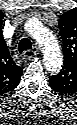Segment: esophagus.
<instances>
[{
    "label": "esophagus",
    "mask_w": 77,
    "mask_h": 125,
    "mask_svg": "<svg viewBox=\"0 0 77 125\" xmlns=\"http://www.w3.org/2000/svg\"><path fill=\"white\" fill-rule=\"evenodd\" d=\"M22 55L24 58H31L35 55V52L28 49V50H25Z\"/></svg>",
    "instance_id": "esophagus-1"
}]
</instances>
